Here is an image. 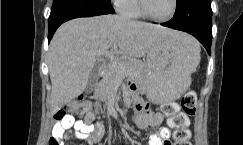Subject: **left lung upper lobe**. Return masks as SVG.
Wrapping results in <instances>:
<instances>
[{"label":"left lung upper lobe","instance_id":"left-lung-upper-lobe-1","mask_svg":"<svg viewBox=\"0 0 243 145\" xmlns=\"http://www.w3.org/2000/svg\"><path fill=\"white\" fill-rule=\"evenodd\" d=\"M175 12L199 31L212 34L211 0H177Z\"/></svg>","mask_w":243,"mask_h":145}]
</instances>
